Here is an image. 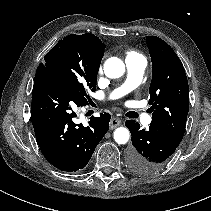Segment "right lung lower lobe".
I'll return each instance as SVG.
<instances>
[{
    "label": "right lung lower lobe",
    "instance_id": "98d812e1",
    "mask_svg": "<svg viewBox=\"0 0 211 211\" xmlns=\"http://www.w3.org/2000/svg\"><path fill=\"white\" fill-rule=\"evenodd\" d=\"M88 101L67 84L35 75L31 121L37 143L49 163L67 172L83 169L109 129L111 116H92L88 126L76 124V107Z\"/></svg>",
    "mask_w": 211,
    "mask_h": 211
}]
</instances>
